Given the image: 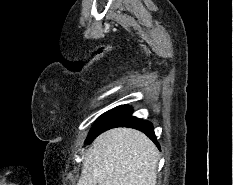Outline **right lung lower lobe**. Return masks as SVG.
<instances>
[{
	"instance_id": "98d812e1",
	"label": "right lung lower lobe",
	"mask_w": 233,
	"mask_h": 185,
	"mask_svg": "<svg viewBox=\"0 0 233 185\" xmlns=\"http://www.w3.org/2000/svg\"><path fill=\"white\" fill-rule=\"evenodd\" d=\"M132 110L126 105L114 108L104 119L99 134L115 127H130L144 132L158 147L153 126L149 121L138 119L131 115Z\"/></svg>"
}]
</instances>
